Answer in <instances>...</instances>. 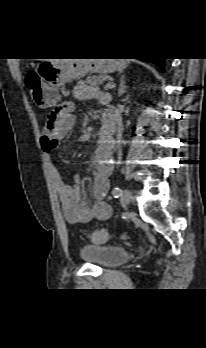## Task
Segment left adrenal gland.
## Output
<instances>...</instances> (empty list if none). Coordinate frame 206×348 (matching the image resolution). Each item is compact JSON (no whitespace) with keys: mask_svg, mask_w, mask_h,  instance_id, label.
<instances>
[{"mask_svg":"<svg viewBox=\"0 0 206 348\" xmlns=\"http://www.w3.org/2000/svg\"><path fill=\"white\" fill-rule=\"evenodd\" d=\"M127 86L125 85V78L124 75L120 78V85L118 89V97H121L126 92Z\"/></svg>","mask_w":206,"mask_h":348,"instance_id":"left-adrenal-gland-1","label":"left adrenal gland"}]
</instances>
